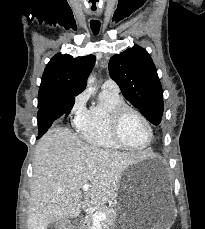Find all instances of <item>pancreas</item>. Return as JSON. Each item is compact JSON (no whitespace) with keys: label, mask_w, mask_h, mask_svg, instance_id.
Returning a JSON list of instances; mask_svg holds the SVG:
<instances>
[{"label":"pancreas","mask_w":205,"mask_h":229,"mask_svg":"<svg viewBox=\"0 0 205 229\" xmlns=\"http://www.w3.org/2000/svg\"><path fill=\"white\" fill-rule=\"evenodd\" d=\"M98 212L107 214V218L101 221L103 229H111L116 220V210L107 206H101L97 209ZM93 214H88L79 229H92Z\"/></svg>","instance_id":"1"}]
</instances>
